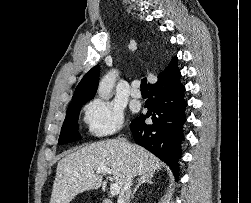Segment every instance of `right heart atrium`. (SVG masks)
I'll list each match as a JSON object with an SVG mask.
<instances>
[{"mask_svg":"<svg viewBox=\"0 0 251 203\" xmlns=\"http://www.w3.org/2000/svg\"><path fill=\"white\" fill-rule=\"evenodd\" d=\"M123 111L112 102L95 99L85 108V121L89 131L98 137L115 134L123 125Z\"/></svg>","mask_w":251,"mask_h":203,"instance_id":"1","label":"right heart atrium"}]
</instances>
